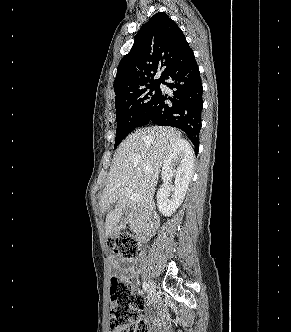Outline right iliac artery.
<instances>
[{"instance_id": "right-iliac-artery-1", "label": "right iliac artery", "mask_w": 291, "mask_h": 332, "mask_svg": "<svg viewBox=\"0 0 291 332\" xmlns=\"http://www.w3.org/2000/svg\"><path fill=\"white\" fill-rule=\"evenodd\" d=\"M148 288H149L148 283L147 282H143V289H144L145 292L148 291Z\"/></svg>"}]
</instances>
